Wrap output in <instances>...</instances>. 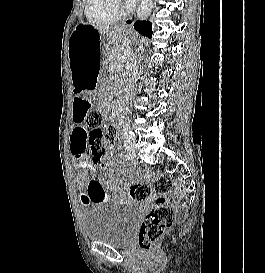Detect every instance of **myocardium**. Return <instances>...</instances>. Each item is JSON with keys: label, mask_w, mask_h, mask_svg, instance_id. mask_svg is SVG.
<instances>
[{"label": "myocardium", "mask_w": 265, "mask_h": 273, "mask_svg": "<svg viewBox=\"0 0 265 273\" xmlns=\"http://www.w3.org/2000/svg\"><path fill=\"white\" fill-rule=\"evenodd\" d=\"M115 3L118 7H121L122 14H125L130 10V8L124 3V0H115Z\"/></svg>", "instance_id": "myocardium-1"}]
</instances>
